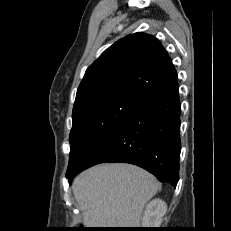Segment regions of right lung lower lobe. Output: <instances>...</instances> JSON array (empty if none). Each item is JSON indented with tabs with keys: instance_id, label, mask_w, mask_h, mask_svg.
<instances>
[{
	"instance_id": "98d812e1",
	"label": "right lung lower lobe",
	"mask_w": 231,
	"mask_h": 231,
	"mask_svg": "<svg viewBox=\"0 0 231 231\" xmlns=\"http://www.w3.org/2000/svg\"><path fill=\"white\" fill-rule=\"evenodd\" d=\"M180 98L178 87L143 99L139 109L100 142L75 168L80 171L103 162H125L142 167L160 182L176 187L180 157Z\"/></svg>"
}]
</instances>
